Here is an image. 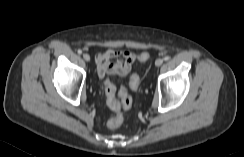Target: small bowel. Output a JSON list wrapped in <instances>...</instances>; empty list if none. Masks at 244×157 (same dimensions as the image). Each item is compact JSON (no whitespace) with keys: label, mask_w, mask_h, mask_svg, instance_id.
Returning <instances> with one entry per match:
<instances>
[{"label":"small bowel","mask_w":244,"mask_h":157,"mask_svg":"<svg viewBox=\"0 0 244 157\" xmlns=\"http://www.w3.org/2000/svg\"><path fill=\"white\" fill-rule=\"evenodd\" d=\"M97 73L100 79L106 75L127 76L136 60V55L130 51L107 49L95 57Z\"/></svg>","instance_id":"1"}]
</instances>
